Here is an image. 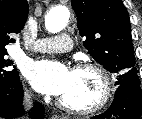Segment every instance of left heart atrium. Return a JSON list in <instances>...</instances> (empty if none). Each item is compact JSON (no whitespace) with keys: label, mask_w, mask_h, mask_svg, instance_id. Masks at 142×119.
<instances>
[{"label":"left heart atrium","mask_w":142,"mask_h":119,"mask_svg":"<svg viewBox=\"0 0 142 119\" xmlns=\"http://www.w3.org/2000/svg\"><path fill=\"white\" fill-rule=\"evenodd\" d=\"M72 72L62 63L48 60L30 62L25 75L40 93L63 95L69 87Z\"/></svg>","instance_id":"left-heart-atrium-1"}]
</instances>
